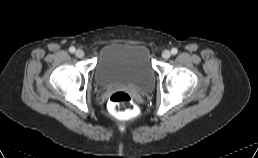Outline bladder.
<instances>
[{
  "mask_svg": "<svg viewBox=\"0 0 258 158\" xmlns=\"http://www.w3.org/2000/svg\"><path fill=\"white\" fill-rule=\"evenodd\" d=\"M94 79L100 87L124 84L140 91L151 89L155 71L149 48L144 44H107L97 56Z\"/></svg>",
  "mask_w": 258,
  "mask_h": 158,
  "instance_id": "31cf9c89",
  "label": "bladder"
}]
</instances>
